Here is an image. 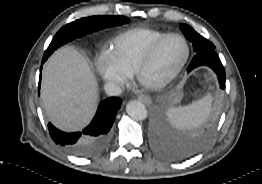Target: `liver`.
Segmentation results:
<instances>
[{
    "label": "liver",
    "instance_id": "6515ba94",
    "mask_svg": "<svg viewBox=\"0 0 262 184\" xmlns=\"http://www.w3.org/2000/svg\"><path fill=\"white\" fill-rule=\"evenodd\" d=\"M42 101L51 122L63 131L85 127L95 114L98 84L87 60L75 49L63 47L43 71Z\"/></svg>",
    "mask_w": 262,
    "mask_h": 184
}]
</instances>
